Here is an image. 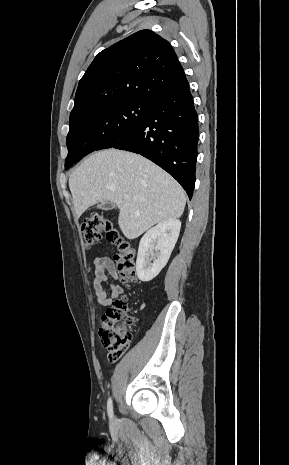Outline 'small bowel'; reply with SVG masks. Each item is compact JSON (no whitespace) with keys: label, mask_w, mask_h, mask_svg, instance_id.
<instances>
[{"label":"small bowel","mask_w":289,"mask_h":465,"mask_svg":"<svg viewBox=\"0 0 289 465\" xmlns=\"http://www.w3.org/2000/svg\"><path fill=\"white\" fill-rule=\"evenodd\" d=\"M95 279L93 290L100 306H109L113 300L123 294V288L109 283V277L118 278L117 267L112 259L107 256H99L94 261ZM109 286L110 292L104 287Z\"/></svg>","instance_id":"obj_1"}]
</instances>
